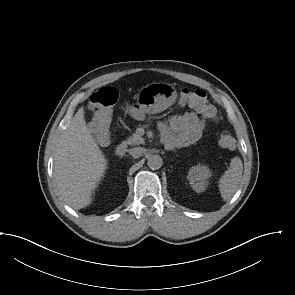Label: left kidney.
<instances>
[{
    "instance_id": "obj_1",
    "label": "left kidney",
    "mask_w": 295,
    "mask_h": 295,
    "mask_svg": "<svg viewBox=\"0 0 295 295\" xmlns=\"http://www.w3.org/2000/svg\"><path fill=\"white\" fill-rule=\"evenodd\" d=\"M211 177L210 169L205 165H196L190 168L187 179L191 187L197 193L203 192L208 184L207 179Z\"/></svg>"
}]
</instances>
